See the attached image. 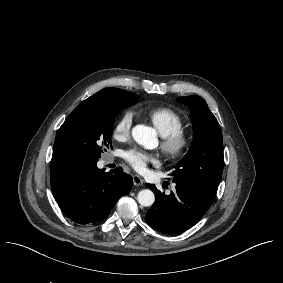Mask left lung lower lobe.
<instances>
[{
    "mask_svg": "<svg viewBox=\"0 0 283 283\" xmlns=\"http://www.w3.org/2000/svg\"><path fill=\"white\" fill-rule=\"evenodd\" d=\"M146 185L154 191L156 201L146 213L145 221L165 234H177L189 229L203 217L213 202L187 186L176 184V191L165 195L154 185Z\"/></svg>",
    "mask_w": 283,
    "mask_h": 283,
    "instance_id": "0a47b994",
    "label": "left lung lower lobe"
}]
</instances>
